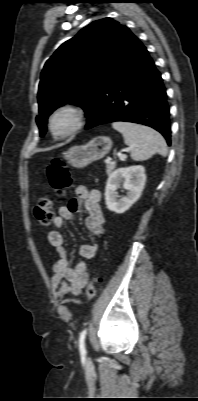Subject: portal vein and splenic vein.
Wrapping results in <instances>:
<instances>
[{"label":"portal vein and splenic vein","instance_id":"18ae733b","mask_svg":"<svg viewBox=\"0 0 198 401\" xmlns=\"http://www.w3.org/2000/svg\"><path fill=\"white\" fill-rule=\"evenodd\" d=\"M119 156H120L122 159H125V158L127 157L125 154H122V153H119ZM106 163H111V159H110V158L107 159V160H106Z\"/></svg>","mask_w":198,"mask_h":401}]
</instances>
